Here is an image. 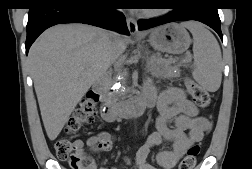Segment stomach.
Wrapping results in <instances>:
<instances>
[{"label": "stomach", "instance_id": "obj_1", "mask_svg": "<svg viewBox=\"0 0 252 169\" xmlns=\"http://www.w3.org/2000/svg\"><path fill=\"white\" fill-rule=\"evenodd\" d=\"M149 42L156 50L181 54L189 48L191 39L183 25L169 23L154 29Z\"/></svg>", "mask_w": 252, "mask_h": 169}]
</instances>
